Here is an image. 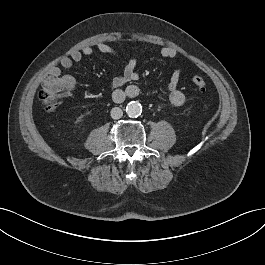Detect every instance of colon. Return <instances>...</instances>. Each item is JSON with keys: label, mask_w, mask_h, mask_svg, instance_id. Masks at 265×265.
<instances>
[{"label": "colon", "mask_w": 265, "mask_h": 265, "mask_svg": "<svg viewBox=\"0 0 265 265\" xmlns=\"http://www.w3.org/2000/svg\"><path fill=\"white\" fill-rule=\"evenodd\" d=\"M192 83L199 89L205 90L206 80L201 76H193ZM74 79L68 75H49L43 82L39 94L41 104L46 112L57 110L63 99L69 97L74 88Z\"/></svg>", "instance_id": "obj_1"}]
</instances>
